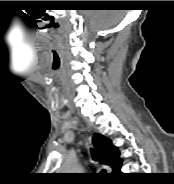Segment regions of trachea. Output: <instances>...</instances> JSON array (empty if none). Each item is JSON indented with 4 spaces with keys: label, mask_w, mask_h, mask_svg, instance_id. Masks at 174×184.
<instances>
[{
    "label": "trachea",
    "mask_w": 174,
    "mask_h": 184,
    "mask_svg": "<svg viewBox=\"0 0 174 184\" xmlns=\"http://www.w3.org/2000/svg\"><path fill=\"white\" fill-rule=\"evenodd\" d=\"M91 154H92L93 160H97V156H96V153L94 152V150H91Z\"/></svg>",
    "instance_id": "trachea-1"
}]
</instances>
